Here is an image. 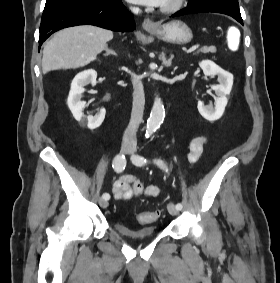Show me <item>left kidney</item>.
Instances as JSON below:
<instances>
[{
  "mask_svg": "<svg viewBox=\"0 0 280 283\" xmlns=\"http://www.w3.org/2000/svg\"><path fill=\"white\" fill-rule=\"evenodd\" d=\"M206 76H218V85H213L212 89L215 91L217 97L215 100V107L212 105H204L202 101H198V111L208 121H216L220 119L224 113L228 102L227 96L230 94L233 86V75L228 71L223 70L213 61L203 60L199 63Z\"/></svg>",
  "mask_w": 280,
  "mask_h": 283,
  "instance_id": "5707ae66",
  "label": "left kidney"
}]
</instances>
